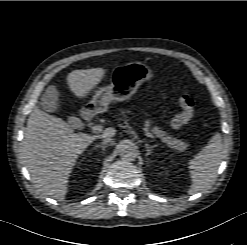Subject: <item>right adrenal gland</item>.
<instances>
[{"label":"right adrenal gland","instance_id":"1","mask_svg":"<svg viewBox=\"0 0 247 245\" xmlns=\"http://www.w3.org/2000/svg\"><path fill=\"white\" fill-rule=\"evenodd\" d=\"M96 147L101 148L104 151L106 149L107 145L100 144V145H97Z\"/></svg>","mask_w":247,"mask_h":245}]
</instances>
